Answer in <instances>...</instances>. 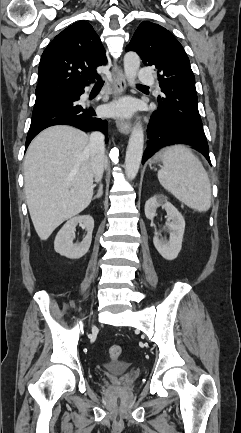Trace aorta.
I'll use <instances>...</instances> for the list:
<instances>
[{
	"instance_id": "762f6f07",
	"label": "aorta",
	"mask_w": 241,
	"mask_h": 433,
	"mask_svg": "<svg viewBox=\"0 0 241 433\" xmlns=\"http://www.w3.org/2000/svg\"><path fill=\"white\" fill-rule=\"evenodd\" d=\"M140 58L135 52H128L124 56V73L127 81L134 86ZM144 146L143 127L138 122L132 129L125 157V172L128 179L133 180L140 168Z\"/></svg>"
}]
</instances>
